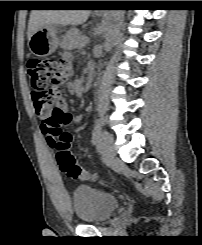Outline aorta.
<instances>
[{
    "label": "aorta",
    "mask_w": 202,
    "mask_h": 245,
    "mask_svg": "<svg viewBox=\"0 0 202 245\" xmlns=\"http://www.w3.org/2000/svg\"><path fill=\"white\" fill-rule=\"evenodd\" d=\"M125 10H111L106 22L105 30V42L104 47L110 48L113 44V40L117 32L119 31L123 20H124Z\"/></svg>",
    "instance_id": "1"
}]
</instances>
